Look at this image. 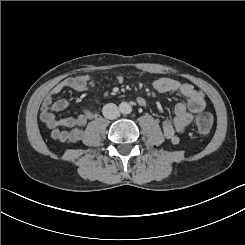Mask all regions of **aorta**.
I'll use <instances>...</instances> for the list:
<instances>
[{
    "label": "aorta",
    "instance_id": "1",
    "mask_svg": "<svg viewBox=\"0 0 245 245\" xmlns=\"http://www.w3.org/2000/svg\"><path fill=\"white\" fill-rule=\"evenodd\" d=\"M119 110L122 114H128L131 112V106L127 102H122L119 105Z\"/></svg>",
    "mask_w": 245,
    "mask_h": 245
}]
</instances>
